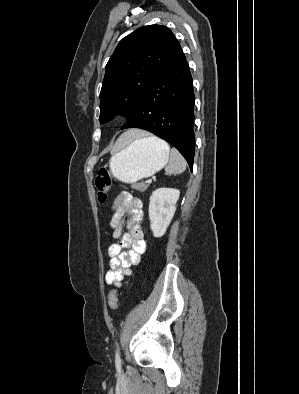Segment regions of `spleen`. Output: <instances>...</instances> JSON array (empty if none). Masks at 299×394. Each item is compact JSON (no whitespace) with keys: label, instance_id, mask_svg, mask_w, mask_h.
<instances>
[{"label":"spleen","instance_id":"spleen-1","mask_svg":"<svg viewBox=\"0 0 299 394\" xmlns=\"http://www.w3.org/2000/svg\"><path fill=\"white\" fill-rule=\"evenodd\" d=\"M147 139L154 143L161 144L169 149L168 144L157 137H147ZM185 170H186V161L184 157L180 154V152L177 149L172 148L170 150L169 163L165 167L166 173H168L169 175H178L183 173Z\"/></svg>","mask_w":299,"mask_h":394}]
</instances>
